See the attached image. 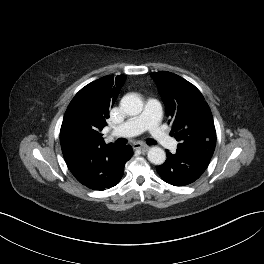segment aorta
Listing matches in <instances>:
<instances>
[{"mask_svg": "<svg viewBox=\"0 0 264 264\" xmlns=\"http://www.w3.org/2000/svg\"><path fill=\"white\" fill-rule=\"evenodd\" d=\"M122 109L130 116L138 115L142 112L143 102L136 94H126L120 102ZM148 160L155 164L161 165L166 160V153L160 147H152L148 151Z\"/></svg>", "mask_w": 264, "mask_h": 264, "instance_id": "aorta-1", "label": "aorta"}]
</instances>
